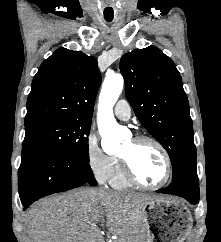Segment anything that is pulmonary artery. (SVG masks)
Instances as JSON below:
<instances>
[{
	"instance_id": "obj_1",
	"label": "pulmonary artery",
	"mask_w": 221,
	"mask_h": 242,
	"mask_svg": "<svg viewBox=\"0 0 221 242\" xmlns=\"http://www.w3.org/2000/svg\"><path fill=\"white\" fill-rule=\"evenodd\" d=\"M114 114L121 120H129L131 117V107L129 103L124 99H120L115 105Z\"/></svg>"
}]
</instances>
